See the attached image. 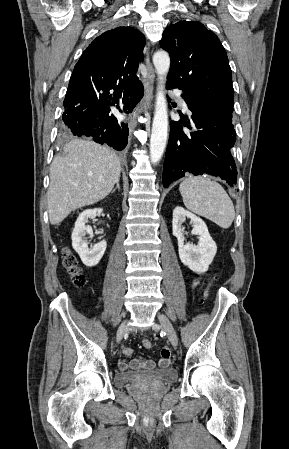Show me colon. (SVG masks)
Here are the masks:
<instances>
[{"mask_svg": "<svg viewBox=\"0 0 289 449\" xmlns=\"http://www.w3.org/2000/svg\"><path fill=\"white\" fill-rule=\"evenodd\" d=\"M63 266L70 275L72 282L77 287H82L86 283V277L81 272L78 261L76 257L71 253L69 249H65L63 251ZM205 296H208V292H206ZM142 344L145 348L151 347V342L148 339H144ZM163 349V348H162Z\"/></svg>", "mask_w": 289, "mask_h": 449, "instance_id": "obj_1", "label": "colon"}]
</instances>
